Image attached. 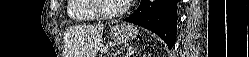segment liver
<instances>
[{
    "instance_id": "1",
    "label": "liver",
    "mask_w": 249,
    "mask_h": 57,
    "mask_svg": "<svg viewBox=\"0 0 249 57\" xmlns=\"http://www.w3.org/2000/svg\"><path fill=\"white\" fill-rule=\"evenodd\" d=\"M103 29L102 25L68 28L66 37L72 57H95L102 46Z\"/></svg>"
}]
</instances>
